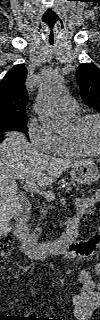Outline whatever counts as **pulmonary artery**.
<instances>
[{
    "instance_id": "obj_1",
    "label": "pulmonary artery",
    "mask_w": 100,
    "mask_h": 320,
    "mask_svg": "<svg viewBox=\"0 0 100 320\" xmlns=\"http://www.w3.org/2000/svg\"><path fill=\"white\" fill-rule=\"evenodd\" d=\"M59 108L63 113L69 116H75L78 112L77 102L69 96L62 97L59 100Z\"/></svg>"
}]
</instances>
